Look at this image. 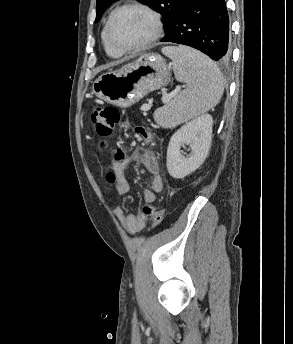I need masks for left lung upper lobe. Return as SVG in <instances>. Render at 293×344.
Segmentation results:
<instances>
[{
  "label": "left lung upper lobe",
  "mask_w": 293,
  "mask_h": 344,
  "mask_svg": "<svg viewBox=\"0 0 293 344\" xmlns=\"http://www.w3.org/2000/svg\"><path fill=\"white\" fill-rule=\"evenodd\" d=\"M115 1L118 0H97L96 10L97 16L95 22H97L103 12ZM142 4L148 5L152 9L158 11L163 16V24L166 33L173 26V23L179 13L181 4L184 0H137Z\"/></svg>",
  "instance_id": "left-lung-upper-lobe-1"
}]
</instances>
